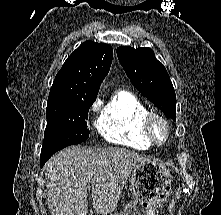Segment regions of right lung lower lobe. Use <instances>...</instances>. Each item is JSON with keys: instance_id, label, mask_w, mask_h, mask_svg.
Returning a JSON list of instances; mask_svg holds the SVG:
<instances>
[{"instance_id": "obj_1", "label": "right lung lower lobe", "mask_w": 221, "mask_h": 215, "mask_svg": "<svg viewBox=\"0 0 221 215\" xmlns=\"http://www.w3.org/2000/svg\"><path fill=\"white\" fill-rule=\"evenodd\" d=\"M49 158H43L41 159V167L47 162Z\"/></svg>"}]
</instances>
